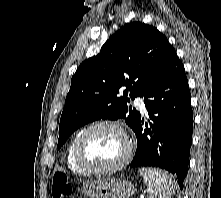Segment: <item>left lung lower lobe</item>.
Masks as SVG:
<instances>
[{
  "instance_id": "obj_1",
  "label": "left lung lower lobe",
  "mask_w": 221,
  "mask_h": 198,
  "mask_svg": "<svg viewBox=\"0 0 221 198\" xmlns=\"http://www.w3.org/2000/svg\"><path fill=\"white\" fill-rule=\"evenodd\" d=\"M145 106L152 122L141 116L134 127L137 152L130 167L153 166L176 175L182 189L187 175L192 141L193 112L184 66L171 55L159 78L145 93Z\"/></svg>"
}]
</instances>
